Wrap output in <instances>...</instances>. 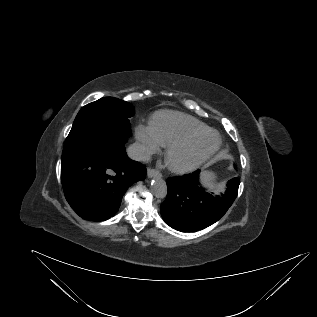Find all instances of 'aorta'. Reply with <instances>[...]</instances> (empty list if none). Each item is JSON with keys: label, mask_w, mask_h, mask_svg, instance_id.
<instances>
[{"label": "aorta", "mask_w": 317, "mask_h": 317, "mask_svg": "<svg viewBox=\"0 0 317 317\" xmlns=\"http://www.w3.org/2000/svg\"><path fill=\"white\" fill-rule=\"evenodd\" d=\"M151 191L156 198L163 199L167 195V185L160 174H155L151 181Z\"/></svg>", "instance_id": "obj_1"}]
</instances>
